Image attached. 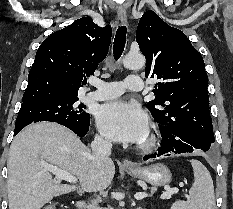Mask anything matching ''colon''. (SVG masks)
<instances>
[{
	"label": "colon",
	"mask_w": 233,
	"mask_h": 209,
	"mask_svg": "<svg viewBox=\"0 0 233 209\" xmlns=\"http://www.w3.org/2000/svg\"><path fill=\"white\" fill-rule=\"evenodd\" d=\"M42 209H57L56 204L45 205Z\"/></svg>",
	"instance_id": "1"
}]
</instances>
